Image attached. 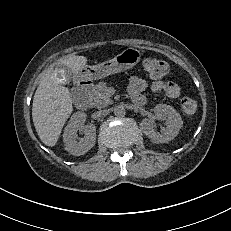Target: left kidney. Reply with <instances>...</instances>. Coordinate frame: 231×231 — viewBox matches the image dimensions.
<instances>
[{
	"label": "left kidney",
	"instance_id": "obj_1",
	"mask_svg": "<svg viewBox=\"0 0 231 231\" xmlns=\"http://www.w3.org/2000/svg\"><path fill=\"white\" fill-rule=\"evenodd\" d=\"M156 118H167L166 129L156 132L154 124L150 119H143L140 128L154 143H168L173 140L179 133L183 125L180 114L170 105L158 104L154 108Z\"/></svg>",
	"mask_w": 231,
	"mask_h": 231
}]
</instances>
